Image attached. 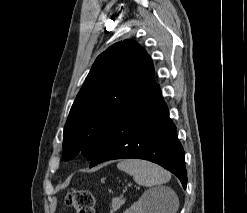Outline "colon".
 Wrapping results in <instances>:
<instances>
[{"label": "colon", "instance_id": "1", "mask_svg": "<svg viewBox=\"0 0 247 213\" xmlns=\"http://www.w3.org/2000/svg\"><path fill=\"white\" fill-rule=\"evenodd\" d=\"M65 204L73 207L77 213H95V199L88 190L70 189L66 195Z\"/></svg>", "mask_w": 247, "mask_h": 213}]
</instances>
